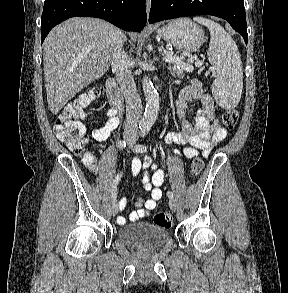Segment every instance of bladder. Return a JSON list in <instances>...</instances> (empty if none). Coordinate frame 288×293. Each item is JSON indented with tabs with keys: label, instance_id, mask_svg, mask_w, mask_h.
<instances>
[{
	"label": "bladder",
	"instance_id": "obj_1",
	"mask_svg": "<svg viewBox=\"0 0 288 293\" xmlns=\"http://www.w3.org/2000/svg\"><path fill=\"white\" fill-rule=\"evenodd\" d=\"M119 238L134 247L155 249L163 246L170 238L169 231L149 222H138L120 227Z\"/></svg>",
	"mask_w": 288,
	"mask_h": 293
}]
</instances>
